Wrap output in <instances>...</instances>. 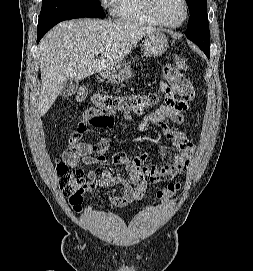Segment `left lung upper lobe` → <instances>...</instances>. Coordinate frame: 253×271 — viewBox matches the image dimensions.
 Masks as SVG:
<instances>
[{
	"instance_id": "1",
	"label": "left lung upper lobe",
	"mask_w": 253,
	"mask_h": 271,
	"mask_svg": "<svg viewBox=\"0 0 253 271\" xmlns=\"http://www.w3.org/2000/svg\"><path fill=\"white\" fill-rule=\"evenodd\" d=\"M190 17L186 37L195 42L201 50L210 49V31L206 0H186Z\"/></svg>"
}]
</instances>
